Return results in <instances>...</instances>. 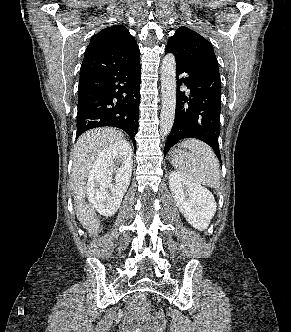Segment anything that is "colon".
I'll return each mask as SVG.
<instances>
[{
    "mask_svg": "<svg viewBox=\"0 0 291 332\" xmlns=\"http://www.w3.org/2000/svg\"><path fill=\"white\" fill-rule=\"evenodd\" d=\"M141 307L144 311H149L151 309V303L148 301H141Z\"/></svg>",
    "mask_w": 291,
    "mask_h": 332,
    "instance_id": "colon-1",
    "label": "colon"
}]
</instances>
